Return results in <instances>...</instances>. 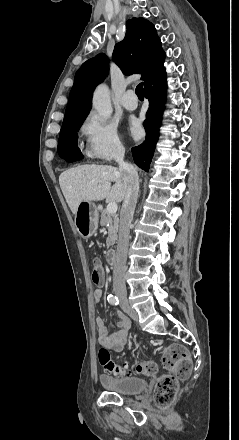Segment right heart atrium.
<instances>
[{"mask_svg":"<svg viewBox=\"0 0 239 440\" xmlns=\"http://www.w3.org/2000/svg\"><path fill=\"white\" fill-rule=\"evenodd\" d=\"M81 130L85 139L84 155L88 159L111 161L123 153L115 126L95 112L85 118Z\"/></svg>","mask_w":239,"mask_h":440,"instance_id":"right-heart-atrium-1","label":"right heart atrium"}]
</instances>
